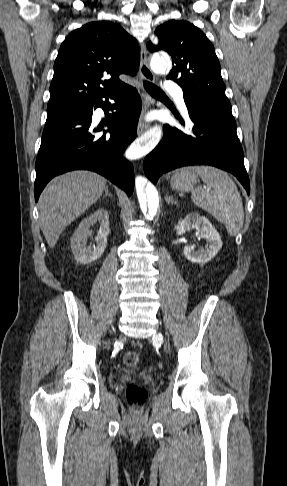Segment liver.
Segmentation results:
<instances>
[{"label":"liver","instance_id":"obj_1","mask_svg":"<svg viewBox=\"0 0 287 486\" xmlns=\"http://www.w3.org/2000/svg\"><path fill=\"white\" fill-rule=\"evenodd\" d=\"M106 179L89 171H72L52 179L39 202L41 230L50 248L62 231L103 194Z\"/></svg>","mask_w":287,"mask_h":486}]
</instances>
